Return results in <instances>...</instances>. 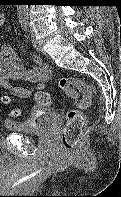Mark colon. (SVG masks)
<instances>
[{
    "label": "colon",
    "mask_w": 121,
    "mask_h": 197,
    "mask_svg": "<svg viewBox=\"0 0 121 197\" xmlns=\"http://www.w3.org/2000/svg\"><path fill=\"white\" fill-rule=\"evenodd\" d=\"M59 88L66 94L68 100H75L78 97V107L71 109L67 113V120L62 131V145L65 150L73 151L85 128L86 120L81 112L82 109H86L91 106L93 102V94L91 87L84 81L75 77H61L58 81ZM15 93H22L23 90L16 88ZM36 101L41 106H49L52 103L51 97L44 91H38L35 94ZM8 101V98H4ZM13 115H18L19 110H13Z\"/></svg>",
    "instance_id": "1"
}]
</instances>
